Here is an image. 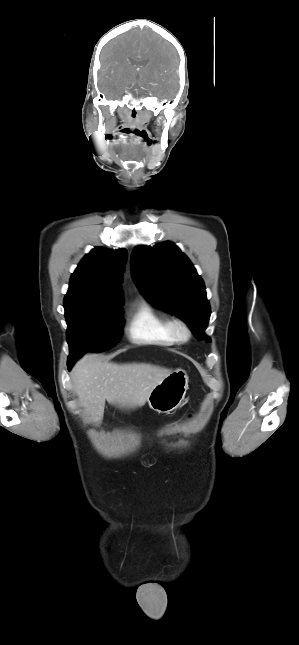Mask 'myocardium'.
I'll list each match as a JSON object with an SVG mask.
<instances>
[{
  "mask_svg": "<svg viewBox=\"0 0 299 645\" xmlns=\"http://www.w3.org/2000/svg\"><path fill=\"white\" fill-rule=\"evenodd\" d=\"M169 330L175 341L186 342L191 338V329L182 319L176 318L171 320Z\"/></svg>",
  "mask_w": 299,
  "mask_h": 645,
  "instance_id": "f54148a6",
  "label": "myocardium"
}]
</instances>
